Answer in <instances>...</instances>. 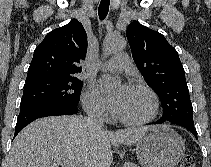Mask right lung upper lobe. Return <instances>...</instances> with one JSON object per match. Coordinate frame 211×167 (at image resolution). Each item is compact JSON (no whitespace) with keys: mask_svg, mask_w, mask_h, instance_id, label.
Returning <instances> with one entry per match:
<instances>
[{"mask_svg":"<svg viewBox=\"0 0 211 167\" xmlns=\"http://www.w3.org/2000/svg\"><path fill=\"white\" fill-rule=\"evenodd\" d=\"M87 51V35L77 19L48 33L36 47L26 80L75 76Z\"/></svg>","mask_w":211,"mask_h":167,"instance_id":"obj_1","label":"right lung upper lobe"}]
</instances>
